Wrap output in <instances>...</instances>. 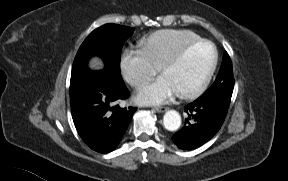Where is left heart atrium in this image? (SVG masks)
Segmentation results:
<instances>
[{
    "instance_id": "39dd6f15",
    "label": "left heart atrium",
    "mask_w": 288,
    "mask_h": 181,
    "mask_svg": "<svg viewBox=\"0 0 288 181\" xmlns=\"http://www.w3.org/2000/svg\"><path fill=\"white\" fill-rule=\"evenodd\" d=\"M177 91L172 84L162 75L156 80L142 87L137 99L143 104H162L169 101Z\"/></svg>"
}]
</instances>
